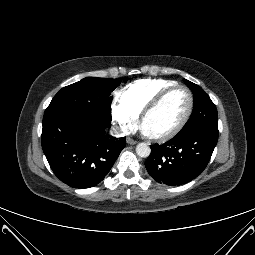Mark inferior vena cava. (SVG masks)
Segmentation results:
<instances>
[{
  "label": "inferior vena cava",
  "mask_w": 255,
  "mask_h": 255,
  "mask_svg": "<svg viewBox=\"0 0 255 255\" xmlns=\"http://www.w3.org/2000/svg\"><path fill=\"white\" fill-rule=\"evenodd\" d=\"M113 133L116 136L121 137V136H125L127 134V131L123 130V129H117V128L113 127Z\"/></svg>",
  "instance_id": "1"
}]
</instances>
